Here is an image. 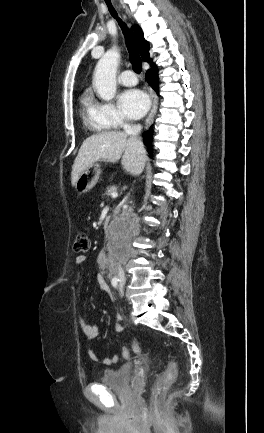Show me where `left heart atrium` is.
<instances>
[{"instance_id": "left-heart-atrium-1", "label": "left heart atrium", "mask_w": 264, "mask_h": 433, "mask_svg": "<svg viewBox=\"0 0 264 433\" xmlns=\"http://www.w3.org/2000/svg\"><path fill=\"white\" fill-rule=\"evenodd\" d=\"M119 107L122 113L130 119L141 118L149 107V99L144 92L131 89L119 96Z\"/></svg>"}]
</instances>
